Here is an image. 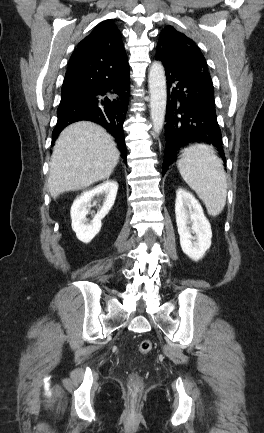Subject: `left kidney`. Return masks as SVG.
Returning <instances> with one entry per match:
<instances>
[{
    "label": "left kidney",
    "mask_w": 264,
    "mask_h": 433,
    "mask_svg": "<svg viewBox=\"0 0 264 433\" xmlns=\"http://www.w3.org/2000/svg\"><path fill=\"white\" fill-rule=\"evenodd\" d=\"M175 215L183 252L192 260L199 261L211 246V225L200 203L183 188L176 191Z\"/></svg>",
    "instance_id": "5707ae66"
}]
</instances>
